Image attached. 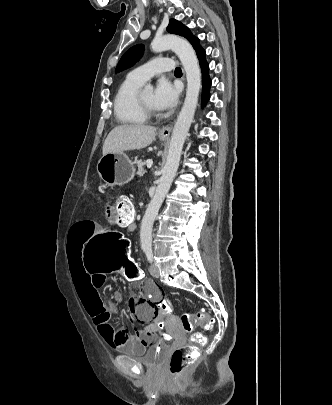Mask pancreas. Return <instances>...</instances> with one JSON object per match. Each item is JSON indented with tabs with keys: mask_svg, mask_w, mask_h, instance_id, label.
<instances>
[{
	"mask_svg": "<svg viewBox=\"0 0 332 405\" xmlns=\"http://www.w3.org/2000/svg\"><path fill=\"white\" fill-rule=\"evenodd\" d=\"M136 164H137V168H138L137 175L139 177H142L146 173V171L144 169L145 162H143L142 160H137Z\"/></svg>",
	"mask_w": 332,
	"mask_h": 405,
	"instance_id": "cf45deb5",
	"label": "pancreas"
}]
</instances>
